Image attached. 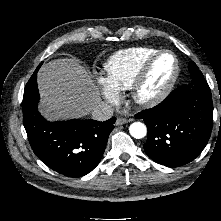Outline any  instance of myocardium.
<instances>
[{"label": "myocardium", "instance_id": "myocardium-1", "mask_svg": "<svg viewBox=\"0 0 221 221\" xmlns=\"http://www.w3.org/2000/svg\"><path fill=\"white\" fill-rule=\"evenodd\" d=\"M166 54L171 55L174 59V72L171 78L158 92L151 95H144L142 93V89L149 78V75L151 73V70L155 62L161 56ZM179 74H180V64L176 54L171 50L167 49L158 50L145 61L140 71L138 72L136 78L134 79L132 86L130 87L132 100L136 104L144 107L157 105L170 94V92L172 91L178 80Z\"/></svg>", "mask_w": 221, "mask_h": 221}]
</instances>
